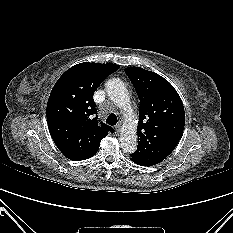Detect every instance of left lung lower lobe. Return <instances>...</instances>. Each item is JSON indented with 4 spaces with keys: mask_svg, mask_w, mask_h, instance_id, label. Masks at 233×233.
I'll list each match as a JSON object with an SVG mask.
<instances>
[{
    "mask_svg": "<svg viewBox=\"0 0 233 233\" xmlns=\"http://www.w3.org/2000/svg\"><path fill=\"white\" fill-rule=\"evenodd\" d=\"M131 160H132L133 162H135L136 164L142 165L141 163H139V162L133 160L132 158H131ZM143 166H144V165H143Z\"/></svg>",
    "mask_w": 233,
    "mask_h": 233,
    "instance_id": "obj_1",
    "label": "left lung lower lobe"
}]
</instances>
